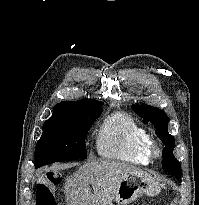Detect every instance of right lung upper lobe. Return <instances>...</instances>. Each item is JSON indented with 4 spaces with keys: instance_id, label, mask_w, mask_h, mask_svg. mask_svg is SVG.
Returning a JSON list of instances; mask_svg holds the SVG:
<instances>
[{
    "instance_id": "cb5924a9",
    "label": "right lung upper lobe",
    "mask_w": 199,
    "mask_h": 205,
    "mask_svg": "<svg viewBox=\"0 0 199 205\" xmlns=\"http://www.w3.org/2000/svg\"><path fill=\"white\" fill-rule=\"evenodd\" d=\"M89 102H98L92 99H84V100H80V101H63L58 103L54 108H58L61 106H65V105H71V104H75V103H89Z\"/></svg>"
}]
</instances>
